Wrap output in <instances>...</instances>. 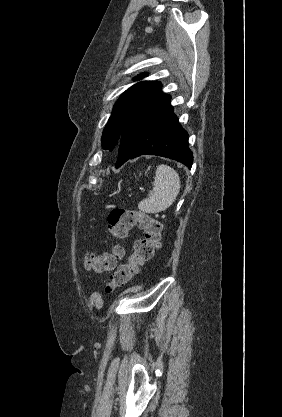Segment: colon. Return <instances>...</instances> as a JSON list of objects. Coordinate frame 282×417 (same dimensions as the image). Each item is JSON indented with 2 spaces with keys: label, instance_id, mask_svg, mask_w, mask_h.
I'll return each instance as SVG.
<instances>
[{
  "label": "colon",
  "instance_id": "1",
  "mask_svg": "<svg viewBox=\"0 0 282 417\" xmlns=\"http://www.w3.org/2000/svg\"><path fill=\"white\" fill-rule=\"evenodd\" d=\"M133 227L142 230L143 235L134 242V251L125 264L105 282V290L112 293L129 283L134 273L152 260L154 252L162 239V224L145 211L138 209L114 208L108 216V230L115 241L125 240ZM122 254L119 245L101 255L86 254L84 262L87 268L103 273L110 270L116 259Z\"/></svg>",
  "mask_w": 282,
  "mask_h": 417
}]
</instances>
